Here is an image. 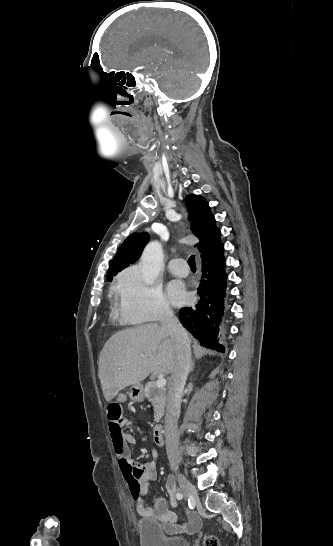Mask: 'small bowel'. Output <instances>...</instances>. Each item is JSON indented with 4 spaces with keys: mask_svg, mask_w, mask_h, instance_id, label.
Instances as JSON below:
<instances>
[{
    "mask_svg": "<svg viewBox=\"0 0 333 546\" xmlns=\"http://www.w3.org/2000/svg\"><path fill=\"white\" fill-rule=\"evenodd\" d=\"M125 398L126 393L119 392L116 400L123 403ZM108 420L112 448L116 454L119 469L129 486L137 513L160 522L167 533H192L197 531L201 526V520L195 512H189L188 522L180 524L176 520L175 512L169 509L165 499L156 497L151 506L146 503L145 498L157 477L156 465L154 462L135 464L130 458L129 451V446L136 442L135 434L125 431L122 418H117L114 421L108 418ZM153 455L154 457L157 456L155 450ZM170 506L172 508L176 507L174 499L170 501Z\"/></svg>",
    "mask_w": 333,
    "mask_h": 546,
    "instance_id": "1",
    "label": "small bowel"
}]
</instances>
